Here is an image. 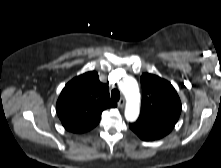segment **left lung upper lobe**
Masks as SVG:
<instances>
[{
    "mask_svg": "<svg viewBox=\"0 0 221 168\" xmlns=\"http://www.w3.org/2000/svg\"><path fill=\"white\" fill-rule=\"evenodd\" d=\"M141 112L130 129L143 140H156L174 128L181 113V101L168 81L149 73L141 76Z\"/></svg>",
    "mask_w": 221,
    "mask_h": 168,
    "instance_id": "1",
    "label": "left lung upper lobe"
}]
</instances>
